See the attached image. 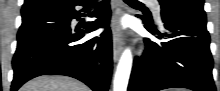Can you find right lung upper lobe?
I'll return each instance as SVG.
<instances>
[{"label":"right lung upper lobe","instance_id":"cb5924a9","mask_svg":"<svg viewBox=\"0 0 220 91\" xmlns=\"http://www.w3.org/2000/svg\"><path fill=\"white\" fill-rule=\"evenodd\" d=\"M63 1L64 0H25L21 13L24 14L42 8L53 7Z\"/></svg>","mask_w":220,"mask_h":91}]
</instances>
